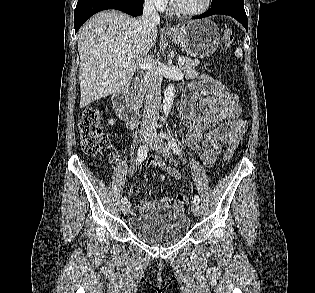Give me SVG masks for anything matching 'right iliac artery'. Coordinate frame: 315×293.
I'll return each instance as SVG.
<instances>
[{
	"label": "right iliac artery",
	"mask_w": 315,
	"mask_h": 293,
	"mask_svg": "<svg viewBox=\"0 0 315 293\" xmlns=\"http://www.w3.org/2000/svg\"><path fill=\"white\" fill-rule=\"evenodd\" d=\"M147 153H148V147L146 145L140 146V148L138 149V152H137V161H138L139 165L144 161V159H146ZM121 202L122 203L127 202V198L123 197L121 199Z\"/></svg>",
	"instance_id": "82829eb1"
}]
</instances>
